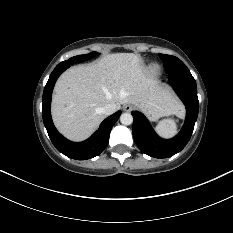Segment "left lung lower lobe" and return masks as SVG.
Here are the masks:
<instances>
[{"instance_id": "obj_1", "label": "left lung lower lobe", "mask_w": 233, "mask_h": 233, "mask_svg": "<svg viewBox=\"0 0 233 233\" xmlns=\"http://www.w3.org/2000/svg\"><path fill=\"white\" fill-rule=\"evenodd\" d=\"M168 80L186 106L185 123L177 136L168 140L160 138L144 115L132 112L134 141L143 153L155 158H167L180 152L190 140L198 116L197 86L191 73L169 74Z\"/></svg>"}]
</instances>
